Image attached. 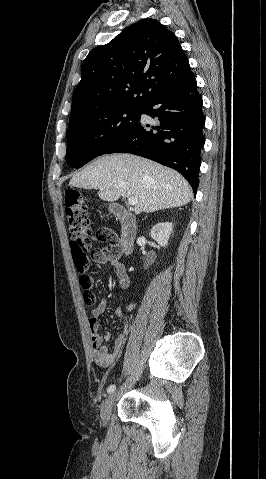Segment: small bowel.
Wrapping results in <instances>:
<instances>
[{
	"label": "small bowel",
	"instance_id": "1",
	"mask_svg": "<svg viewBox=\"0 0 266 479\" xmlns=\"http://www.w3.org/2000/svg\"><path fill=\"white\" fill-rule=\"evenodd\" d=\"M111 249L112 246L109 245L104 249L95 251L93 254V262L98 266H112L114 268L119 287L121 289H127L130 285L129 275L124 264H122L118 258L112 256ZM106 307V300L101 298L97 306L92 310V316L89 319L92 358L98 366L103 368L112 366L116 362L127 339L126 334L123 333L114 340L113 348L111 350L106 346L105 343L110 340L111 334L109 332H99V317L105 312ZM134 308L135 304H130L128 305L127 310L132 311ZM114 313L121 319L126 318V312L120 306L115 309Z\"/></svg>",
	"mask_w": 266,
	"mask_h": 479
}]
</instances>
